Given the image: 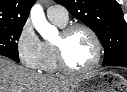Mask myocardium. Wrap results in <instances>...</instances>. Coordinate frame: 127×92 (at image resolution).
<instances>
[{
  "instance_id": "myocardium-1",
  "label": "myocardium",
  "mask_w": 127,
  "mask_h": 92,
  "mask_svg": "<svg viewBox=\"0 0 127 92\" xmlns=\"http://www.w3.org/2000/svg\"><path fill=\"white\" fill-rule=\"evenodd\" d=\"M76 30L86 31L95 46V57L93 61L84 68H74L69 65L65 58L64 43L66 39ZM53 49L58 67L67 73L82 74L94 69L101 61L103 55L102 43L98 34L90 26L83 23H72L62 28L59 34V39L53 43Z\"/></svg>"
}]
</instances>
